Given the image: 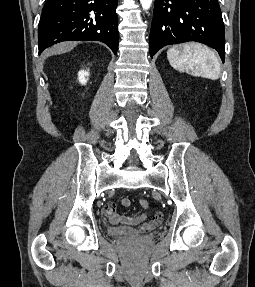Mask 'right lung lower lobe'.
Instances as JSON below:
<instances>
[{
    "instance_id": "1",
    "label": "right lung lower lobe",
    "mask_w": 255,
    "mask_h": 287,
    "mask_svg": "<svg viewBox=\"0 0 255 287\" xmlns=\"http://www.w3.org/2000/svg\"><path fill=\"white\" fill-rule=\"evenodd\" d=\"M117 3L118 0H48L38 27L39 54L67 40L101 41L116 54L119 43Z\"/></svg>"
}]
</instances>
